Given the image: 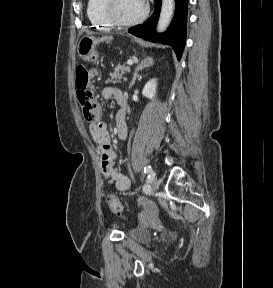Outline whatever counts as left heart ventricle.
I'll use <instances>...</instances> for the list:
<instances>
[{
	"label": "left heart ventricle",
	"mask_w": 273,
	"mask_h": 288,
	"mask_svg": "<svg viewBox=\"0 0 273 288\" xmlns=\"http://www.w3.org/2000/svg\"><path fill=\"white\" fill-rule=\"evenodd\" d=\"M143 0H115L114 13L122 20H131L140 16L144 10Z\"/></svg>",
	"instance_id": "left-heart-ventricle-1"
}]
</instances>
